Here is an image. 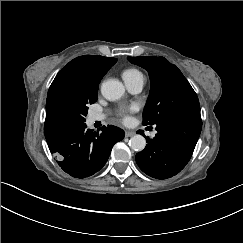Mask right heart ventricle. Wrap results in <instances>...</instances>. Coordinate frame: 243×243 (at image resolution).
Here are the masks:
<instances>
[{"instance_id": "e07e8e85", "label": "right heart ventricle", "mask_w": 243, "mask_h": 243, "mask_svg": "<svg viewBox=\"0 0 243 243\" xmlns=\"http://www.w3.org/2000/svg\"><path fill=\"white\" fill-rule=\"evenodd\" d=\"M121 77L127 86L144 82L143 73L137 68H128L121 73Z\"/></svg>"}]
</instances>
